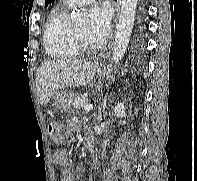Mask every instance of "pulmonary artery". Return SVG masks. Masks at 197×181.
<instances>
[{
  "instance_id": "1",
  "label": "pulmonary artery",
  "mask_w": 197,
  "mask_h": 181,
  "mask_svg": "<svg viewBox=\"0 0 197 181\" xmlns=\"http://www.w3.org/2000/svg\"><path fill=\"white\" fill-rule=\"evenodd\" d=\"M95 0H68L67 4L69 6H73V5H86L89 4L91 2H93Z\"/></svg>"
}]
</instances>
